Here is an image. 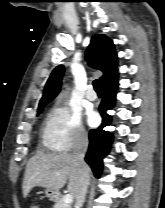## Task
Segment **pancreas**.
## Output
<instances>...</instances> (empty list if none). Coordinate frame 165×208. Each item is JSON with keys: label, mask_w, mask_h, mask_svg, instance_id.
<instances>
[{"label": "pancreas", "mask_w": 165, "mask_h": 208, "mask_svg": "<svg viewBox=\"0 0 165 208\" xmlns=\"http://www.w3.org/2000/svg\"><path fill=\"white\" fill-rule=\"evenodd\" d=\"M53 208H72V207H71V204L63 203L62 199H57L55 201V204H54Z\"/></svg>", "instance_id": "1"}]
</instances>
